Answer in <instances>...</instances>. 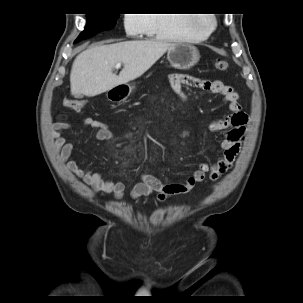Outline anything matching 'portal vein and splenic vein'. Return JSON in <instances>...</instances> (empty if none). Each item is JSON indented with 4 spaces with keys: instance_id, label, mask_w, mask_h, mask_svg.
Instances as JSON below:
<instances>
[{
    "instance_id": "portal-vein-and-splenic-vein-1",
    "label": "portal vein and splenic vein",
    "mask_w": 303,
    "mask_h": 303,
    "mask_svg": "<svg viewBox=\"0 0 303 303\" xmlns=\"http://www.w3.org/2000/svg\"><path fill=\"white\" fill-rule=\"evenodd\" d=\"M115 67H116V68H120V67H121V63H117V64L115 65Z\"/></svg>"
}]
</instances>
